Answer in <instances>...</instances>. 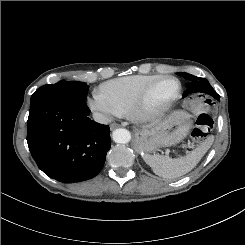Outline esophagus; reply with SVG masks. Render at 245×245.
Instances as JSON below:
<instances>
[{"instance_id": "34e87169", "label": "esophagus", "mask_w": 245, "mask_h": 245, "mask_svg": "<svg viewBox=\"0 0 245 245\" xmlns=\"http://www.w3.org/2000/svg\"><path fill=\"white\" fill-rule=\"evenodd\" d=\"M119 126H120V125L117 124V123H112V124L110 125V129H111V130H114V129L118 128Z\"/></svg>"}]
</instances>
